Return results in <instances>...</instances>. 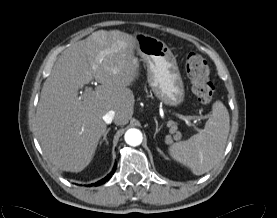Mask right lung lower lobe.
I'll return each instance as SVG.
<instances>
[{
    "label": "right lung lower lobe",
    "instance_id": "obj_1",
    "mask_svg": "<svg viewBox=\"0 0 277 218\" xmlns=\"http://www.w3.org/2000/svg\"><path fill=\"white\" fill-rule=\"evenodd\" d=\"M115 166H116V165H115ZM114 171H115V168L113 169L112 173H113ZM110 177H111V173H110L108 176H106L104 179H102V180L98 181L97 183H95L94 185H95V186H99V185L105 183L106 181H108ZM92 185H93V184H92Z\"/></svg>",
    "mask_w": 277,
    "mask_h": 218
}]
</instances>
